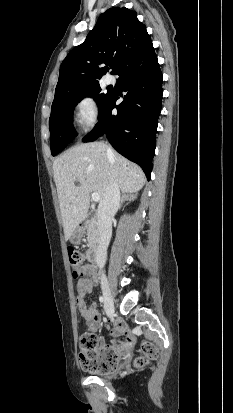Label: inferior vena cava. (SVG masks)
<instances>
[{"label": "inferior vena cava", "instance_id": "602c4592", "mask_svg": "<svg viewBox=\"0 0 233 413\" xmlns=\"http://www.w3.org/2000/svg\"><path fill=\"white\" fill-rule=\"evenodd\" d=\"M109 158L113 157V151L107 148ZM120 206V189L114 176L111 175L103 200L100 202L97 217L99 226V243L96 250L95 261L100 269L106 262L107 247L112 235V219Z\"/></svg>", "mask_w": 233, "mask_h": 413}]
</instances>
